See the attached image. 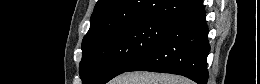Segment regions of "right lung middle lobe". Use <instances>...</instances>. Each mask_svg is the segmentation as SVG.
Returning a JSON list of instances; mask_svg holds the SVG:
<instances>
[{"label":"right lung middle lobe","instance_id":"1","mask_svg":"<svg viewBox=\"0 0 260 84\" xmlns=\"http://www.w3.org/2000/svg\"><path fill=\"white\" fill-rule=\"evenodd\" d=\"M171 25L172 22L164 20H141L82 44L79 72L83 84H104L125 72L155 45Z\"/></svg>","mask_w":260,"mask_h":84}]
</instances>
